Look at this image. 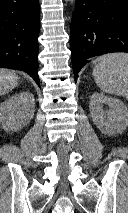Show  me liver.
Returning <instances> with one entry per match:
<instances>
[{
    "instance_id": "liver-1",
    "label": "liver",
    "mask_w": 128,
    "mask_h": 213,
    "mask_svg": "<svg viewBox=\"0 0 128 213\" xmlns=\"http://www.w3.org/2000/svg\"><path fill=\"white\" fill-rule=\"evenodd\" d=\"M18 81L19 77L15 72L0 68V96L12 91Z\"/></svg>"
}]
</instances>
